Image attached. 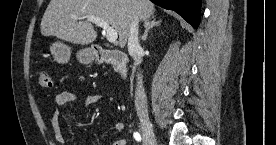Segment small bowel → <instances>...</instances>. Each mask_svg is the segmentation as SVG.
Here are the masks:
<instances>
[{"label": "small bowel", "instance_id": "small-bowel-1", "mask_svg": "<svg viewBox=\"0 0 276 145\" xmlns=\"http://www.w3.org/2000/svg\"><path fill=\"white\" fill-rule=\"evenodd\" d=\"M78 100L83 106H91L100 103L103 100V96L96 94L82 96L77 92L68 90L62 91L55 96V109L52 112L50 124L55 140L61 145L65 144V137L62 133L60 125V110L68 103ZM114 128L118 133H122L124 131L125 125L123 122L118 121L115 123ZM114 145H127V142L124 138H119L114 142Z\"/></svg>", "mask_w": 276, "mask_h": 145}]
</instances>
